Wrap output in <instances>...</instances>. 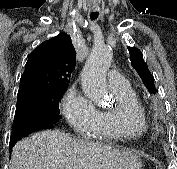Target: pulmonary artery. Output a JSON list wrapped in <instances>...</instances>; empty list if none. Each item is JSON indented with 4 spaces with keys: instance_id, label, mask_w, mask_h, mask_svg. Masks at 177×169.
<instances>
[{
    "instance_id": "e3ab8cb5",
    "label": "pulmonary artery",
    "mask_w": 177,
    "mask_h": 169,
    "mask_svg": "<svg viewBox=\"0 0 177 169\" xmlns=\"http://www.w3.org/2000/svg\"><path fill=\"white\" fill-rule=\"evenodd\" d=\"M108 80L113 91L124 90L129 86V82L126 78H124L119 71L110 70L108 72Z\"/></svg>"
}]
</instances>
